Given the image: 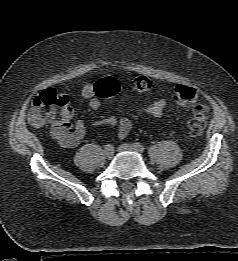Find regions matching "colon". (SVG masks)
Returning <instances> with one entry per match:
<instances>
[{
    "label": "colon",
    "mask_w": 238,
    "mask_h": 261,
    "mask_svg": "<svg viewBox=\"0 0 238 261\" xmlns=\"http://www.w3.org/2000/svg\"><path fill=\"white\" fill-rule=\"evenodd\" d=\"M132 89L137 93H146L151 89V82L144 76H138L132 81ZM99 97L107 98L118 94L122 83L115 77H106L95 84ZM174 101L182 107L192 108L193 117L188 123L192 136L199 135L205 127L208 116V106L201 102L197 89L185 85H178L173 91ZM29 121L34 126H41L46 120L53 118L66 121L71 114L68 96L54 89H46L34 97Z\"/></svg>",
    "instance_id": "5ec220e1"
}]
</instances>
